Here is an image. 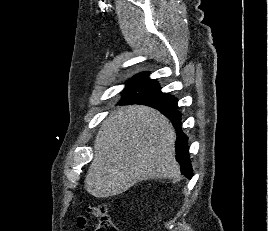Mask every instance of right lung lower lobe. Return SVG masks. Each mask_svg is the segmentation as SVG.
Wrapping results in <instances>:
<instances>
[{
  "mask_svg": "<svg viewBox=\"0 0 268 231\" xmlns=\"http://www.w3.org/2000/svg\"><path fill=\"white\" fill-rule=\"evenodd\" d=\"M122 104H136V103H120ZM176 106L172 108H167L165 110H159L162 112L169 120L173 123L176 130L177 141L175 143L176 148V160L181 165V172L189 179L193 176L192 167L190 163L189 153H188V138L182 132L181 129V113L176 110Z\"/></svg>",
  "mask_w": 268,
  "mask_h": 231,
  "instance_id": "98d812e1",
  "label": "right lung lower lobe"
}]
</instances>
